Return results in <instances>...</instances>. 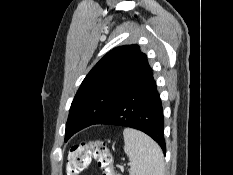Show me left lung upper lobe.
Listing matches in <instances>:
<instances>
[{
	"label": "left lung upper lobe",
	"mask_w": 233,
	"mask_h": 175,
	"mask_svg": "<svg viewBox=\"0 0 233 175\" xmlns=\"http://www.w3.org/2000/svg\"><path fill=\"white\" fill-rule=\"evenodd\" d=\"M138 45L108 52L83 80L71 104L65 141L103 116L121 94L148 68Z\"/></svg>",
	"instance_id": "1"
}]
</instances>
